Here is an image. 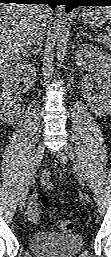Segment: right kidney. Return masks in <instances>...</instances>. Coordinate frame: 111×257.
Segmentation results:
<instances>
[{"label":"right kidney","instance_id":"obj_1","mask_svg":"<svg viewBox=\"0 0 111 257\" xmlns=\"http://www.w3.org/2000/svg\"><path fill=\"white\" fill-rule=\"evenodd\" d=\"M35 66L29 62H20L15 66L5 69L1 74L0 103L2 119L15 120L22 107V99L12 90L20 81H24L23 88L30 89L31 79L35 78Z\"/></svg>","mask_w":111,"mask_h":257}]
</instances>
